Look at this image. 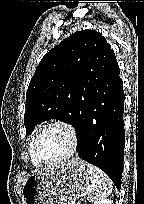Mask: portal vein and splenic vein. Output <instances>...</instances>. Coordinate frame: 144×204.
<instances>
[{
  "mask_svg": "<svg viewBox=\"0 0 144 204\" xmlns=\"http://www.w3.org/2000/svg\"><path fill=\"white\" fill-rule=\"evenodd\" d=\"M78 201H79V198H78ZM71 204H78V203H77V198L74 199V200H72V201H71Z\"/></svg>",
  "mask_w": 144,
  "mask_h": 204,
  "instance_id": "portal-vein-and-splenic-vein-1",
  "label": "portal vein and splenic vein"
}]
</instances>
